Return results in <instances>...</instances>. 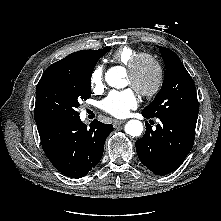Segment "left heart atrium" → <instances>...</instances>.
<instances>
[{
  "instance_id": "obj_1",
  "label": "left heart atrium",
  "mask_w": 221,
  "mask_h": 221,
  "mask_svg": "<svg viewBox=\"0 0 221 221\" xmlns=\"http://www.w3.org/2000/svg\"><path fill=\"white\" fill-rule=\"evenodd\" d=\"M137 97L132 89L122 91H112L102 101L101 107L108 114L123 118L126 117L130 110L137 107Z\"/></svg>"
}]
</instances>
